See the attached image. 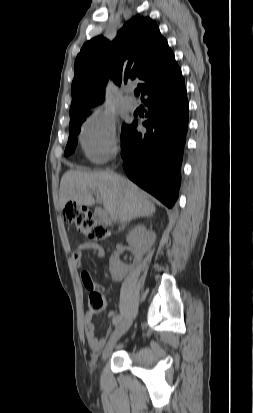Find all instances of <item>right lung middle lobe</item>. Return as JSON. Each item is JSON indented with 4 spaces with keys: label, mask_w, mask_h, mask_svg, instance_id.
I'll return each instance as SVG.
<instances>
[{
    "label": "right lung middle lobe",
    "mask_w": 253,
    "mask_h": 413,
    "mask_svg": "<svg viewBox=\"0 0 253 413\" xmlns=\"http://www.w3.org/2000/svg\"><path fill=\"white\" fill-rule=\"evenodd\" d=\"M85 115H82L76 119L70 120V124H69V139H68V143L65 149V156H68L70 154H72L75 150L76 144H77V134L80 132L81 130V124L82 122L85 120ZM129 127V125L123 124L122 126V137L125 133V131L127 130V128Z\"/></svg>",
    "instance_id": "obj_1"
}]
</instances>
